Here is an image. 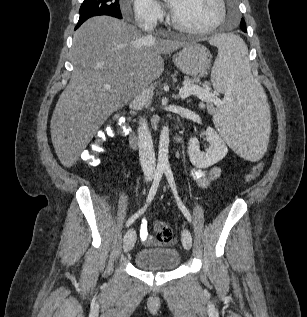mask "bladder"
<instances>
[{
	"instance_id": "31cf9c89",
	"label": "bladder",
	"mask_w": 307,
	"mask_h": 317,
	"mask_svg": "<svg viewBox=\"0 0 307 317\" xmlns=\"http://www.w3.org/2000/svg\"><path fill=\"white\" fill-rule=\"evenodd\" d=\"M180 260V254L174 248H144L134 257L135 266L149 272L172 271L179 265Z\"/></svg>"
}]
</instances>
